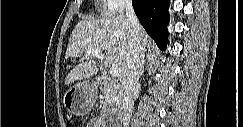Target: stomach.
I'll return each mask as SVG.
<instances>
[{"label":"stomach","mask_w":243,"mask_h":127,"mask_svg":"<svg viewBox=\"0 0 243 127\" xmlns=\"http://www.w3.org/2000/svg\"><path fill=\"white\" fill-rule=\"evenodd\" d=\"M96 86L89 81L79 82L70 87L63 95V106L68 114L85 116L96 99Z\"/></svg>","instance_id":"obj_1"}]
</instances>
